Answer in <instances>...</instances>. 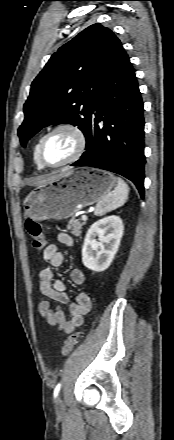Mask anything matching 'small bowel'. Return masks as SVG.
<instances>
[{
	"mask_svg": "<svg viewBox=\"0 0 174 440\" xmlns=\"http://www.w3.org/2000/svg\"><path fill=\"white\" fill-rule=\"evenodd\" d=\"M57 239L65 246L73 244L71 236L67 233L58 234ZM42 256L53 267L61 266L64 261L63 253L55 244L47 245L43 249ZM70 279L74 284L82 285L86 277L82 270L73 269L70 273ZM39 283L40 290L46 299L39 303L38 311L48 324L57 327L64 333H71L83 324L84 316L91 309V299L86 292L79 293L76 302H70L64 282L49 268L41 270ZM50 300L59 304H68L70 317L67 319L62 308L60 306L53 307Z\"/></svg>",
	"mask_w": 174,
	"mask_h": 440,
	"instance_id": "1",
	"label": "small bowel"
}]
</instances>
